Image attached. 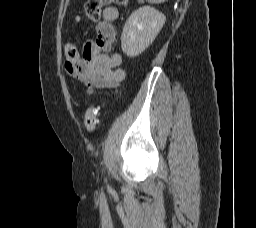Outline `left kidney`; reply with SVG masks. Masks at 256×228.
Wrapping results in <instances>:
<instances>
[{
	"label": "left kidney",
	"mask_w": 256,
	"mask_h": 228,
	"mask_svg": "<svg viewBox=\"0 0 256 228\" xmlns=\"http://www.w3.org/2000/svg\"><path fill=\"white\" fill-rule=\"evenodd\" d=\"M165 19L164 14L150 6L134 11L122 31V51L129 57L141 54L155 40Z\"/></svg>",
	"instance_id": "left-kidney-1"
}]
</instances>
